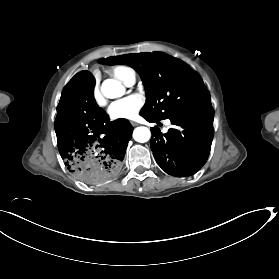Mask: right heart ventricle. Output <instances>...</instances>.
<instances>
[{
  "label": "right heart ventricle",
  "instance_id": "e07e8e85",
  "mask_svg": "<svg viewBox=\"0 0 279 279\" xmlns=\"http://www.w3.org/2000/svg\"><path fill=\"white\" fill-rule=\"evenodd\" d=\"M107 72L124 85H127L130 79H135L133 70L126 66H114L108 69Z\"/></svg>",
  "mask_w": 279,
  "mask_h": 279
}]
</instances>
